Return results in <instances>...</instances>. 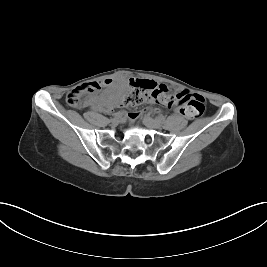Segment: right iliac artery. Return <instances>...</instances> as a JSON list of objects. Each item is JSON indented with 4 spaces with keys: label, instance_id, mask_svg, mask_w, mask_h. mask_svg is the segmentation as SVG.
I'll list each match as a JSON object with an SVG mask.
<instances>
[{
    "label": "right iliac artery",
    "instance_id": "right-iliac-artery-1",
    "mask_svg": "<svg viewBox=\"0 0 267 267\" xmlns=\"http://www.w3.org/2000/svg\"><path fill=\"white\" fill-rule=\"evenodd\" d=\"M121 115H122V112L119 111V112H117V113H114V114H113V117L116 118V117H120Z\"/></svg>",
    "mask_w": 267,
    "mask_h": 267
}]
</instances>
